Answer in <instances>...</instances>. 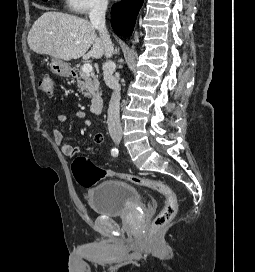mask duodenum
<instances>
[{"label":"duodenum","instance_id":"1","mask_svg":"<svg viewBox=\"0 0 255 272\" xmlns=\"http://www.w3.org/2000/svg\"><path fill=\"white\" fill-rule=\"evenodd\" d=\"M103 107V99L101 97L95 96L91 99L90 108L91 112L94 114H98L101 112Z\"/></svg>","mask_w":255,"mask_h":272}]
</instances>
